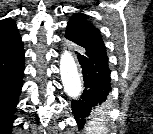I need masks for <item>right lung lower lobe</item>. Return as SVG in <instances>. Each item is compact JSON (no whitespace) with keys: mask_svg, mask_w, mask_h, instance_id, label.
<instances>
[{"mask_svg":"<svg viewBox=\"0 0 153 134\" xmlns=\"http://www.w3.org/2000/svg\"><path fill=\"white\" fill-rule=\"evenodd\" d=\"M24 48L19 41L0 51V134H10L24 74Z\"/></svg>","mask_w":153,"mask_h":134,"instance_id":"right-lung-lower-lobe-1","label":"right lung lower lobe"}]
</instances>
